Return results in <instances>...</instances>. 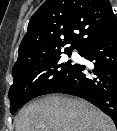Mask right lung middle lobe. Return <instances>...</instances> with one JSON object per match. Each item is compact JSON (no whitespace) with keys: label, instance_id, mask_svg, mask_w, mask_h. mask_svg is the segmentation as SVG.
<instances>
[{"label":"right lung middle lobe","instance_id":"1","mask_svg":"<svg viewBox=\"0 0 117 131\" xmlns=\"http://www.w3.org/2000/svg\"><path fill=\"white\" fill-rule=\"evenodd\" d=\"M60 54L49 53L37 62L12 70L13 84L8 94L12 114L33 98L48 94L62 84L73 65L70 60L59 62Z\"/></svg>","mask_w":117,"mask_h":131}]
</instances>
